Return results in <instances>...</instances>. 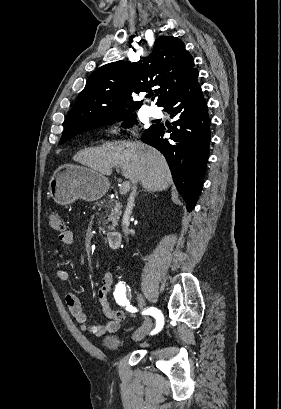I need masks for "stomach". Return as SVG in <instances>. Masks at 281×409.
I'll return each instance as SVG.
<instances>
[{
  "label": "stomach",
  "mask_w": 281,
  "mask_h": 409,
  "mask_svg": "<svg viewBox=\"0 0 281 409\" xmlns=\"http://www.w3.org/2000/svg\"><path fill=\"white\" fill-rule=\"evenodd\" d=\"M110 182L94 168L80 164H61L49 180V192L57 205H71L78 198L98 200Z\"/></svg>",
  "instance_id": "obj_1"
}]
</instances>
